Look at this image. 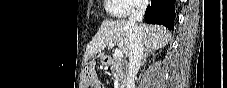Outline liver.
Wrapping results in <instances>:
<instances>
[{"label": "liver", "instance_id": "obj_1", "mask_svg": "<svg viewBox=\"0 0 227 88\" xmlns=\"http://www.w3.org/2000/svg\"><path fill=\"white\" fill-rule=\"evenodd\" d=\"M138 27L146 49L158 50L165 47L170 41L171 34L162 26L140 24ZM110 42L116 43L118 48L128 56L129 29L127 21H103L98 32L86 48L85 59L88 60L96 54L102 55V51Z\"/></svg>", "mask_w": 227, "mask_h": 88}]
</instances>
